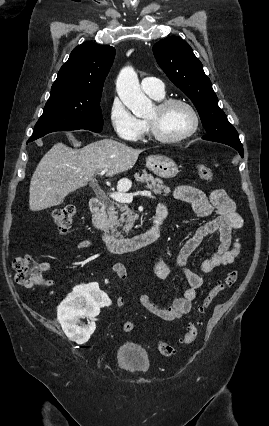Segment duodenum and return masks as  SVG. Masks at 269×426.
<instances>
[{
    "instance_id": "1",
    "label": "duodenum",
    "mask_w": 269,
    "mask_h": 426,
    "mask_svg": "<svg viewBox=\"0 0 269 426\" xmlns=\"http://www.w3.org/2000/svg\"><path fill=\"white\" fill-rule=\"evenodd\" d=\"M90 209L93 226L101 233L103 243L111 254H124L135 251L157 241L168 214L166 207L158 206L153 224L148 231L130 238H122L108 231L106 203L102 194L93 196L90 202Z\"/></svg>"
}]
</instances>
